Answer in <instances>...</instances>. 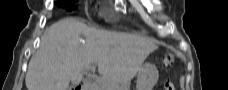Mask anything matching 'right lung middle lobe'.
I'll return each instance as SVG.
<instances>
[{"label":"right lung middle lobe","instance_id":"dd1d6c3e","mask_svg":"<svg viewBox=\"0 0 228 90\" xmlns=\"http://www.w3.org/2000/svg\"><path fill=\"white\" fill-rule=\"evenodd\" d=\"M75 2L77 0H59L56 4L63 8H70Z\"/></svg>","mask_w":228,"mask_h":90}]
</instances>
